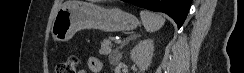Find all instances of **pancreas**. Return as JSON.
<instances>
[{
    "mask_svg": "<svg viewBox=\"0 0 244 73\" xmlns=\"http://www.w3.org/2000/svg\"><path fill=\"white\" fill-rule=\"evenodd\" d=\"M112 53V43L109 39H104L101 42V48L99 54L103 56L110 55Z\"/></svg>",
    "mask_w": 244,
    "mask_h": 73,
    "instance_id": "pancreas-1",
    "label": "pancreas"
}]
</instances>
